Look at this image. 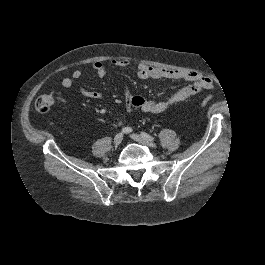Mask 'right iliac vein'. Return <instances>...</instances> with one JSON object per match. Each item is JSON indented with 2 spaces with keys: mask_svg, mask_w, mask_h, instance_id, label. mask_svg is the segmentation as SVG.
<instances>
[{
  "mask_svg": "<svg viewBox=\"0 0 265 265\" xmlns=\"http://www.w3.org/2000/svg\"><path fill=\"white\" fill-rule=\"evenodd\" d=\"M122 140H123V134L122 133L116 134V136L114 137V145L115 146L120 145Z\"/></svg>",
  "mask_w": 265,
  "mask_h": 265,
  "instance_id": "obj_1",
  "label": "right iliac vein"
}]
</instances>
